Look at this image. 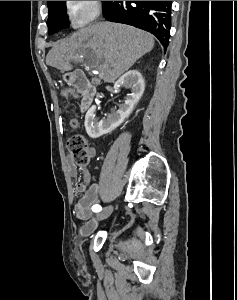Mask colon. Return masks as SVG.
Here are the masks:
<instances>
[{"instance_id":"obj_1","label":"colon","mask_w":237,"mask_h":300,"mask_svg":"<svg viewBox=\"0 0 237 300\" xmlns=\"http://www.w3.org/2000/svg\"><path fill=\"white\" fill-rule=\"evenodd\" d=\"M63 95L66 98H69L72 95V91L69 88H66L63 90ZM66 147L77 165L81 167L88 165L90 160L88 145L86 139L82 135H71L66 141Z\"/></svg>"}]
</instances>
